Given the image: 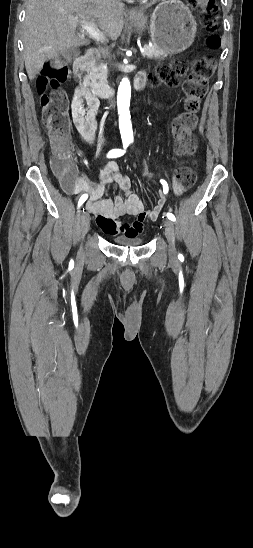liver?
Here are the masks:
<instances>
[{"label": "liver", "mask_w": 253, "mask_h": 548, "mask_svg": "<svg viewBox=\"0 0 253 548\" xmlns=\"http://www.w3.org/2000/svg\"><path fill=\"white\" fill-rule=\"evenodd\" d=\"M126 15L119 0H28L23 28L24 61L33 80L48 59L90 44L76 35L78 16L96 19L103 39L116 40Z\"/></svg>", "instance_id": "1"}]
</instances>
